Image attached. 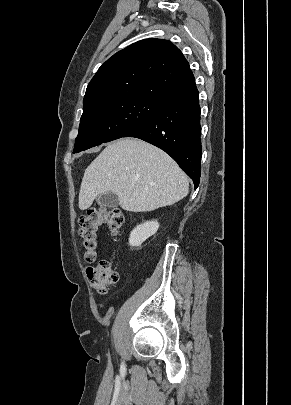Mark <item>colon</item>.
Here are the masks:
<instances>
[{
	"label": "colon",
	"instance_id": "colon-1",
	"mask_svg": "<svg viewBox=\"0 0 291 405\" xmlns=\"http://www.w3.org/2000/svg\"><path fill=\"white\" fill-rule=\"evenodd\" d=\"M123 221V214L117 209H91L80 217L79 235L87 263L92 264L97 259L100 228L105 226L112 234H117ZM86 273L92 287L101 294H105L108 287L118 280L117 272L107 260H101L95 265L87 267Z\"/></svg>",
	"mask_w": 291,
	"mask_h": 405
}]
</instances>
